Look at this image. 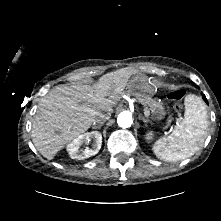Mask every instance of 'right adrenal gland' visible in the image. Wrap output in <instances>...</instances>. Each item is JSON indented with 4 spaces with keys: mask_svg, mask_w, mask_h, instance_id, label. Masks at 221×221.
<instances>
[{
    "mask_svg": "<svg viewBox=\"0 0 221 221\" xmlns=\"http://www.w3.org/2000/svg\"><path fill=\"white\" fill-rule=\"evenodd\" d=\"M102 125H98V126H93V129H101Z\"/></svg>",
    "mask_w": 221,
    "mask_h": 221,
    "instance_id": "right-adrenal-gland-1",
    "label": "right adrenal gland"
}]
</instances>
